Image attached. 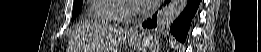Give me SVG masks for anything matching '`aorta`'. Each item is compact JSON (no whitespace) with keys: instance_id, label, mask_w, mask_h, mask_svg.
<instances>
[{"instance_id":"1","label":"aorta","mask_w":261,"mask_h":52,"mask_svg":"<svg viewBox=\"0 0 261 52\" xmlns=\"http://www.w3.org/2000/svg\"><path fill=\"white\" fill-rule=\"evenodd\" d=\"M187 3L188 0H171L157 21L158 28L164 29L170 26L183 12Z\"/></svg>"}]
</instances>
